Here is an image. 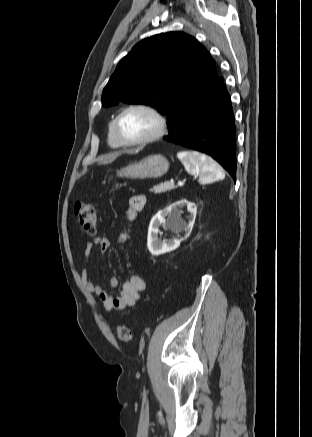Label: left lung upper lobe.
I'll use <instances>...</instances> for the list:
<instances>
[{
  "instance_id": "obj_1",
  "label": "left lung upper lobe",
  "mask_w": 312,
  "mask_h": 437,
  "mask_svg": "<svg viewBox=\"0 0 312 437\" xmlns=\"http://www.w3.org/2000/svg\"><path fill=\"white\" fill-rule=\"evenodd\" d=\"M217 78L215 61L195 38L162 33L137 43L119 62L103 89L102 105H150L167 117L172 133Z\"/></svg>"
}]
</instances>
